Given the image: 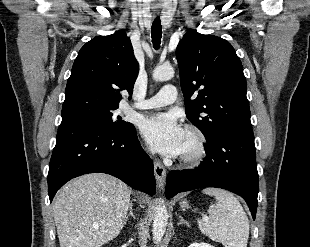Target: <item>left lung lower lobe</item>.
<instances>
[{
    "mask_svg": "<svg viewBox=\"0 0 310 247\" xmlns=\"http://www.w3.org/2000/svg\"><path fill=\"white\" fill-rule=\"evenodd\" d=\"M205 152L204 161L195 170L169 172L166 197L202 187L223 188L244 198L255 219L259 179L252 129L224 133L207 143Z\"/></svg>",
    "mask_w": 310,
    "mask_h": 247,
    "instance_id": "left-lung-lower-lobe-1",
    "label": "left lung lower lobe"
}]
</instances>
